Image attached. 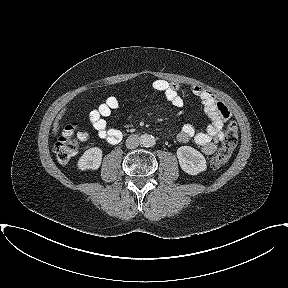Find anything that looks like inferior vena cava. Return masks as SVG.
Masks as SVG:
<instances>
[{"instance_id":"obj_1","label":"inferior vena cava","mask_w":288,"mask_h":288,"mask_svg":"<svg viewBox=\"0 0 288 288\" xmlns=\"http://www.w3.org/2000/svg\"><path fill=\"white\" fill-rule=\"evenodd\" d=\"M140 144V138L136 135H131L126 139V147L128 149H135Z\"/></svg>"}]
</instances>
